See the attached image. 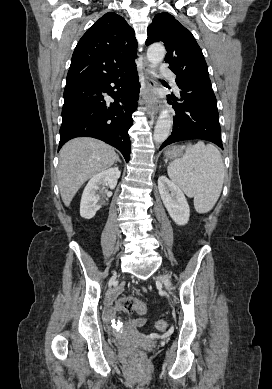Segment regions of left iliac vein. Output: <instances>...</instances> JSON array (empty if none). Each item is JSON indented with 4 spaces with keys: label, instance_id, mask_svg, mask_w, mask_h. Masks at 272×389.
Listing matches in <instances>:
<instances>
[{
    "label": "left iliac vein",
    "instance_id": "left-iliac-vein-1",
    "mask_svg": "<svg viewBox=\"0 0 272 389\" xmlns=\"http://www.w3.org/2000/svg\"><path fill=\"white\" fill-rule=\"evenodd\" d=\"M158 280H160L164 284V286L167 290H171V288H172L171 281L167 275H160L158 277Z\"/></svg>",
    "mask_w": 272,
    "mask_h": 389
}]
</instances>
